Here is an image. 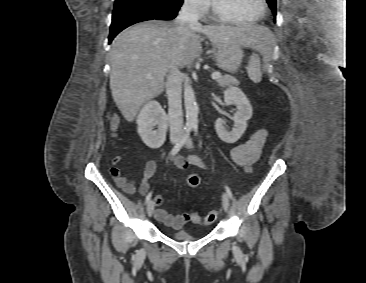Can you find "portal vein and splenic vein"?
Instances as JSON below:
<instances>
[{
  "instance_id": "obj_1",
  "label": "portal vein and splenic vein",
  "mask_w": 366,
  "mask_h": 283,
  "mask_svg": "<svg viewBox=\"0 0 366 283\" xmlns=\"http://www.w3.org/2000/svg\"><path fill=\"white\" fill-rule=\"evenodd\" d=\"M221 77V74L219 73V72H214V73H212V75H211V78L212 79H218V78H220Z\"/></svg>"
}]
</instances>
